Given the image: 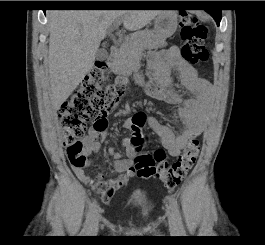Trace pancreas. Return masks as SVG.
I'll return each instance as SVG.
<instances>
[{"mask_svg": "<svg viewBox=\"0 0 265 245\" xmlns=\"http://www.w3.org/2000/svg\"><path fill=\"white\" fill-rule=\"evenodd\" d=\"M166 45L164 38L157 36L150 30L136 32L121 44L114 56L112 70L118 75L128 77L136 71L144 49L161 48Z\"/></svg>", "mask_w": 265, "mask_h": 245, "instance_id": "1", "label": "pancreas"}]
</instances>
